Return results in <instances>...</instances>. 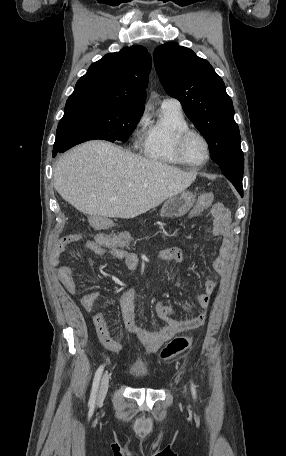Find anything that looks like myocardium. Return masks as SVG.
Instances as JSON below:
<instances>
[{
	"mask_svg": "<svg viewBox=\"0 0 286 456\" xmlns=\"http://www.w3.org/2000/svg\"><path fill=\"white\" fill-rule=\"evenodd\" d=\"M190 135L199 136L203 140V142L206 146V159L201 164H193L185 156L184 144ZM174 151H175L176 155L178 156V158L185 165H187L191 168H194V169H200V168L204 167L211 159V145H210L209 140L201 131H199L197 129H193V128L184 129L176 134V136L174 138Z\"/></svg>",
	"mask_w": 286,
	"mask_h": 456,
	"instance_id": "myocardium-1",
	"label": "myocardium"
}]
</instances>
